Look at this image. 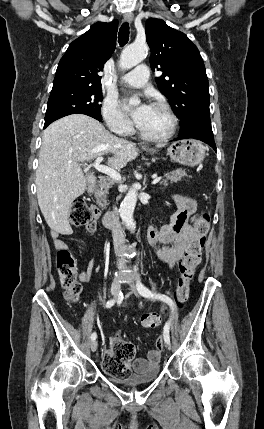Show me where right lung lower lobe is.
Returning a JSON list of instances; mask_svg holds the SVG:
<instances>
[{"instance_id": "98d812e1", "label": "right lung lower lobe", "mask_w": 264, "mask_h": 429, "mask_svg": "<svg viewBox=\"0 0 264 429\" xmlns=\"http://www.w3.org/2000/svg\"><path fill=\"white\" fill-rule=\"evenodd\" d=\"M48 125H44V128H46Z\"/></svg>"}]
</instances>
